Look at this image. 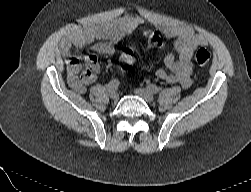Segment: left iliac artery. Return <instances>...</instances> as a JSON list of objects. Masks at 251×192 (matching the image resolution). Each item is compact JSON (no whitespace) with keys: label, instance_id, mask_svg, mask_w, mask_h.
<instances>
[{"label":"left iliac artery","instance_id":"obj_1","mask_svg":"<svg viewBox=\"0 0 251 192\" xmlns=\"http://www.w3.org/2000/svg\"><path fill=\"white\" fill-rule=\"evenodd\" d=\"M147 89H148L151 93H153V94H157V93H159V91H160V88L157 87V86L154 85V84L148 85V86H147Z\"/></svg>","mask_w":251,"mask_h":192}]
</instances>
